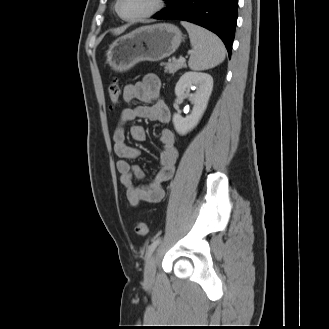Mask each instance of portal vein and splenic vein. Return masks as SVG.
Returning <instances> with one entry per match:
<instances>
[{"label": "portal vein and splenic vein", "mask_w": 329, "mask_h": 329, "mask_svg": "<svg viewBox=\"0 0 329 329\" xmlns=\"http://www.w3.org/2000/svg\"><path fill=\"white\" fill-rule=\"evenodd\" d=\"M179 62H185V58L184 57H179Z\"/></svg>", "instance_id": "18ae733b"}]
</instances>
